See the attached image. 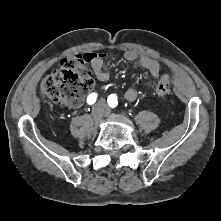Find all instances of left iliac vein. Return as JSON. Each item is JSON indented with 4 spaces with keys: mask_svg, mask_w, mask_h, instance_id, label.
Returning a JSON list of instances; mask_svg holds the SVG:
<instances>
[{
    "mask_svg": "<svg viewBox=\"0 0 221 221\" xmlns=\"http://www.w3.org/2000/svg\"><path fill=\"white\" fill-rule=\"evenodd\" d=\"M100 105H102V106L105 107V115H106V116H110V111L106 108L104 102H100Z\"/></svg>",
    "mask_w": 221,
    "mask_h": 221,
    "instance_id": "obj_1",
    "label": "left iliac vein"
}]
</instances>
